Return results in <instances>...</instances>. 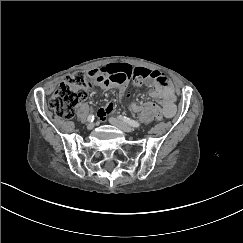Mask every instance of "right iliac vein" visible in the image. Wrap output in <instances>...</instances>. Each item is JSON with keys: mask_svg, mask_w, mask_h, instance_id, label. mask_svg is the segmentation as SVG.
Instances as JSON below:
<instances>
[{"mask_svg": "<svg viewBox=\"0 0 243 243\" xmlns=\"http://www.w3.org/2000/svg\"><path fill=\"white\" fill-rule=\"evenodd\" d=\"M94 128V123L90 122L87 124V129L92 130Z\"/></svg>", "mask_w": 243, "mask_h": 243, "instance_id": "1", "label": "right iliac vein"}]
</instances>
